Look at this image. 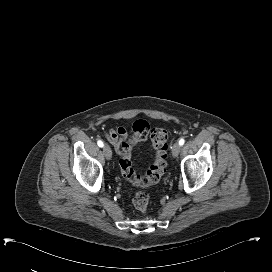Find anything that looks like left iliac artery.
I'll use <instances>...</instances> for the list:
<instances>
[{
	"label": "left iliac artery",
	"instance_id": "left-iliac-artery-1",
	"mask_svg": "<svg viewBox=\"0 0 272 272\" xmlns=\"http://www.w3.org/2000/svg\"><path fill=\"white\" fill-rule=\"evenodd\" d=\"M184 143H185V140H184L183 138H181V139L179 140V145L182 146Z\"/></svg>",
	"mask_w": 272,
	"mask_h": 272
}]
</instances>
